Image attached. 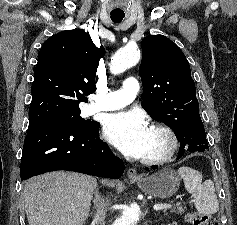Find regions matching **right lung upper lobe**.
I'll return each mask as SVG.
<instances>
[{
  "label": "right lung upper lobe",
  "mask_w": 237,
  "mask_h": 225,
  "mask_svg": "<svg viewBox=\"0 0 237 225\" xmlns=\"http://www.w3.org/2000/svg\"><path fill=\"white\" fill-rule=\"evenodd\" d=\"M105 54L82 29L47 39L34 70L29 123L80 111L79 102L95 91L99 60Z\"/></svg>",
  "instance_id": "cb5924a9"
}]
</instances>
